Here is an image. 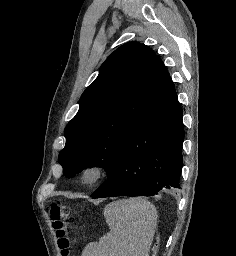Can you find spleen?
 Returning a JSON list of instances; mask_svg holds the SVG:
<instances>
[{
  "label": "spleen",
  "mask_w": 236,
  "mask_h": 256,
  "mask_svg": "<svg viewBox=\"0 0 236 256\" xmlns=\"http://www.w3.org/2000/svg\"><path fill=\"white\" fill-rule=\"evenodd\" d=\"M109 234L90 242L82 256H149L157 212L144 198L117 200L104 210Z\"/></svg>",
  "instance_id": "spleen-1"
}]
</instances>
